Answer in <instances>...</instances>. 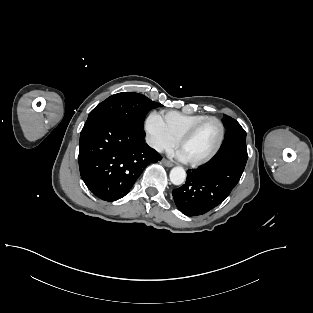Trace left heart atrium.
<instances>
[{
	"label": "left heart atrium",
	"instance_id": "obj_1",
	"mask_svg": "<svg viewBox=\"0 0 313 313\" xmlns=\"http://www.w3.org/2000/svg\"><path fill=\"white\" fill-rule=\"evenodd\" d=\"M176 157H177L179 160H181V161H187V159L185 158V156L183 155V153H182L180 150H178V151L176 152Z\"/></svg>",
	"mask_w": 313,
	"mask_h": 313
}]
</instances>
